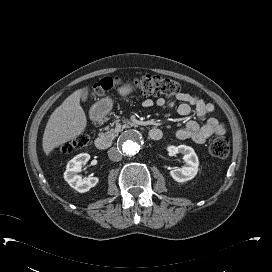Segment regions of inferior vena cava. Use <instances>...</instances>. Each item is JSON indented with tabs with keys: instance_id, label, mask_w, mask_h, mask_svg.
Wrapping results in <instances>:
<instances>
[{
	"instance_id": "inferior-vena-cava-1",
	"label": "inferior vena cava",
	"mask_w": 272,
	"mask_h": 272,
	"mask_svg": "<svg viewBox=\"0 0 272 272\" xmlns=\"http://www.w3.org/2000/svg\"><path fill=\"white\" fill-rule=\"evenodd\" d=\"M108 157L110 160L118 162L122 159V153L116 147H112L108 151Z\"/></svg>"
}]
</instances>
